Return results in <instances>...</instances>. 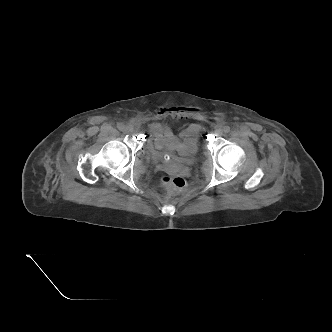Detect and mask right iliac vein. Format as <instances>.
Instances as JSON below:
<instances>
[{"label": "right iliac vein", "mask_w": 332, "mask_h": 332, "mask_svg": "<svg viewBox=\"0 0 332 332\" xmlns=\"http://www.w3.org/2000/svg\"><path fill=\"white\" fill-rule=\"evenodd\" d=\"M123 130L127 133H131V132H133V127L130 126V125H127V126L124 127Z\"/></svg>", "instance_id": "1"}]
</instances>
